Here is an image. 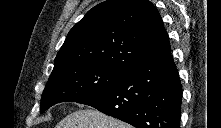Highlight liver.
Wrapping results in <instances>:
<instances>
[{"mask_svg":"<svg viewBox=\"0 0 221 128\" xmlns=\"http://www.w3.org/2000/svg\"><path fill=\"white\" fill-rule=\"evenodd\" d=\"M56 128H132L96 109H79L62 119Z\"/></svg>","mask_w":221,"mask_h":128,"instance_id":"liver-1","label":"liver"}]
</instances>
